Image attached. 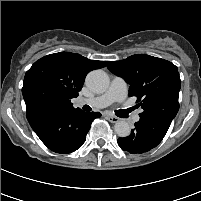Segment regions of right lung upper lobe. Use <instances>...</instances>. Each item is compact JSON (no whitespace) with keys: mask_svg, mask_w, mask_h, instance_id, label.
<instances>
[{"mask_svg":"<svg viewBox=\"0 0 201 201\" xmlns=\"http://www.w3.org/2000/svg\"><path fill=\"white\" fill-rule=\"evenodd\" d=\"M104 66L105 62L71 52L42 57L24 77L22 94L27 113L39 109L75 111L71 99L79 95L86 75Z\"/></svg>","mask_w":201,"mask_h":201,"instance_id":"cb5924a9","label":"right lung upper lobe"}]
</instances>
